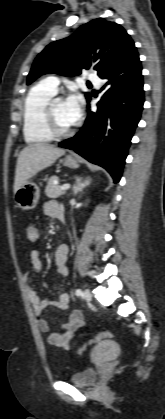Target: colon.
<instances>
[{"label":"colon","instance_id":"obj_1","mask_svg":"<svg viewBox=\"0 0 165 419\" xmlns=\"http://www.w3.org/2000/svg\"><path fill=\"white\" fill-rule=\"evenodd\" d=\"M30 233H31L32 236H35V232L33 230H30ZM111 337H112V333L110 331L101 332L100 334L96 335L91 340H89L87 343H85L81 347V350H84L88 346L93 345L95 343L110 339Z\"/></svg>","mask_w":165,"mask_h":419}]
</instances>
